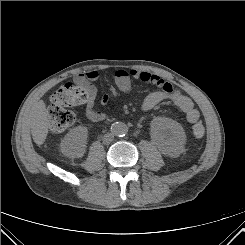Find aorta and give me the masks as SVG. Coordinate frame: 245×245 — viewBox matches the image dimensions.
Segmentation results:
<instances>
[{
  "label": "aorta",
  "instance_id": "1",
  "mask_svg": "<svg viewBox=\"0 0 245 245\" xmlns=\"http://www.w3.org/2000/svg\"><path fill=\"white\" fill-rule=\"evenodd\" d=\"M111 131L115 136H124L128 131V127L123 122H116L111 126Z\"/></svg>",
  "mask_w": 245,
  "mask_h": 245
}]
</instances>
